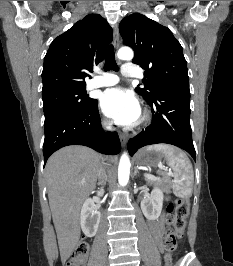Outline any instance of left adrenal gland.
I'll list each match as a JSON object with an SVG mask.
<instances>
[{"instance_id": "1", "label": "left adrenal gland", "mask_w": 233, "mask_h": 266, "mask_svg": "<svg viewBox=\"0 0 233 266\" xmlns=\"http://www.w3.org/2000/svg\"><path fill=\"white\" fill-rule=\"evenodd\" d=\"M137 173H138V169H137V167H135L134 175H137Z\"/></svg>"}]
</instances>
